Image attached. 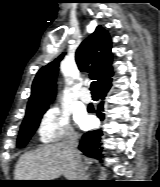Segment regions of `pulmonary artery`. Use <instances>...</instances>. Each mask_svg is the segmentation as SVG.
<instances>
[{"mask_svg":"<svg viewBox=\"0 0 160 187\" xmlns=\"http://www.w3.org/2000/svg\"><path fill=\"white\" fill-rule=\"evenodd\" d=\"M79 97H80V100L84 103H89L91 101V96L88 93H86L85 90L81 91Z\"/></svg>","mask_w":160,"mask_h":187,"instance_id":"pulmonary-artery-1","label":"pulmonary artery"}]
</instances>
